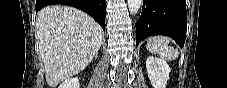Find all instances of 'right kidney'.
<instances>
[{"mask_svg":"<svg viewBox=\"0 0 227 88\" xmlns=\"http://www.w3.org/2000/svg\"><path fill=\"white\" fill-rule=\"evenodd\" d=\"M58 88H80L79 79L77 77L65 79Z\"/></svg>","mask_w":227,"mask_h":88,"instance_id":"ca27d5eb","label":"right kidney"}]
</instances>
